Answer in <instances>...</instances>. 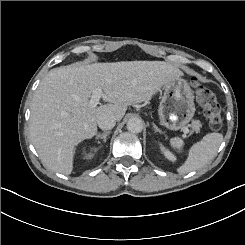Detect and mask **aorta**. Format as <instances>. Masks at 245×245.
<instances>
[{
  "label": "aorta",
  "mask_w": 245,
  "mask_h": 245,
  "mask_svg": "<svg viewBox=\"0 0 245 245\" xmlns=\"http://www.w3.org/2000/svg\"><path fill=\"white\" fill-rule=\"evenodd\" d=\"M127 129L132 133H140L143 129V122L137 117H132L127 122Z\"/></svg>",
  "instance_id": "1"
}]
</instances>
